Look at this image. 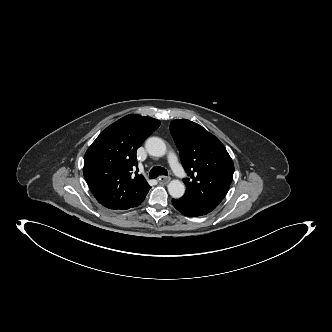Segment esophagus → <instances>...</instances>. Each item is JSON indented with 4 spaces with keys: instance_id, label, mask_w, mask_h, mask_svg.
<instances>
[{
    "instance_id": "obj_1",
    "label": "esophagus",
    "mask_w": 332,
    "mask_h": 332,
    "mask_svg": "<svg viewBox=\"0 0 332 332\" xmlns=\"http://www.w3.org/2000/svg\"><path fill=\"white\" fill-rule=\"evenodd\" d=\"M170 177H167V176H160L158 178V182L161 183V184H166L170 181Z\"/></svg>"
}]
</instances>
